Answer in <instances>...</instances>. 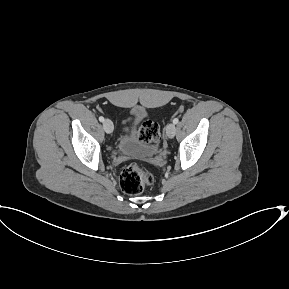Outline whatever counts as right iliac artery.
I'll use <instances>...</instances> for the list:
<instances>
[{
    "label": "right iliac artery",
    "mask_w": 289,
    "mask_h": 289,
    "mask_svg": "<svg viewBox=\"0 0 289 289\" xmlns=\"http://www.w3.org/2000/svg\"><path fill=\"white\" fill-rule=\"evenodd\" d=\"M99 121H100V122H104V117H103V116H100V117H99Z\"/></svg>",
    "instance_id": "right-iliac-artery-1"
}]
</instances>
